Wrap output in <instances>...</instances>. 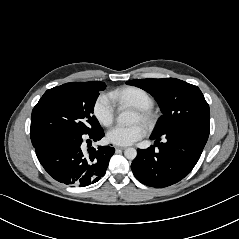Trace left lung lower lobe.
<instances>
[{
  "mask_svg": "<svg viewBox=\"0 0 239 239\" xmlns=\"http://www.w3.org/2000/svg\"><path fill=\"white\" fill-rule=\"evenodd\" d=\"M165 143H160L161 137ZM209 132L200 129H176L163 135L152 134L154 145L138 149L131 164L135 177L143 184L162 188L179 182L199 160ZM158 146V149L155 147Z\"/></svg>",
  "mask_w": 239,
  "mask_h": 239,
  "instance_id": "obj_1",
  "label": "left lung lower lobe"
}]
</instances>
